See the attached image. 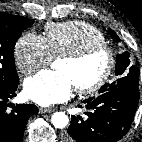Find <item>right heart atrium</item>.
<instances>
[{
    "mask_svg": "<svg viewBox=\"0 0 142 142\" xmlns=\"http://www.w3.org/2000/svg\"><path fill=\"white\" fill-rule=\"evenodd\" d=\"M14 58L17 68L23 74H30L52 60L45 38L31 31L16 41Z\"/></svg>",
    "mask_w": 142,
    "mask_h": 142,
    "instance_id": "obj_1",
    "label": "right heart atrium"
}]
</instances>
